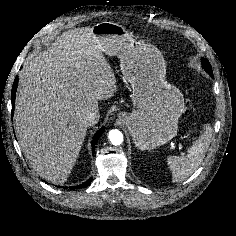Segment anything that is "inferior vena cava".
I'll return each mask as SVG.
<instances>
[{
  "mask_svg": "<svg viewBox=\"0 0 236 236\" xmlns=\"http://www.w3.org/2000/svg\"><path fill=\"white\" fill-rule=\"evenodd\" d=\"M99 118H100V114L98 111L89 110V111L85 112L83 115V124L86 127L92 126V125L98 123Z\"/></svg>",
  "mask_w": 236,
  "mask_h": 236,
  "instance_id": "obj_1",
  "label": "inferior vena cava"
}]
</instances>
